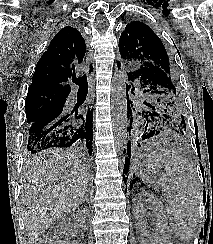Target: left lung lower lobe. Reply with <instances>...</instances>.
<instances>
[{"mask_svg": "<svg viewBox=\"0 0 213 244\" xmlns=\"http://www.w3.org/2000/svg\"><path fill=\"white\" fill-rule=\"evenodd\" d=\"M127 108H128V117H131L130 119V127L127 128L129 130V132L131 131V123H132V110L130 107V104H127ZM138 114H141L143 116V118L145 119V123H146V127H145V131L144 134L140 137V141H144V140H148V139H152L155 138L157 135H159L164 131V128L162 127L161 124L156 123V121L151 118L146 112H138ZM139 141H137V145L138 147H141V143H138ZM131 142L129 141L127 144V157L125 158V167H124V172L127 173L128 169H129V164H130V157H131ZM126 153V150L124 151ZM123 178L125 179V175L123 173Z\"/></svg>", "mask_w": 213, "mask_h": 244, "instance_id": "left-lung-lower-lobe-1", "label": "left lung lower lobe"}]
</instances>
